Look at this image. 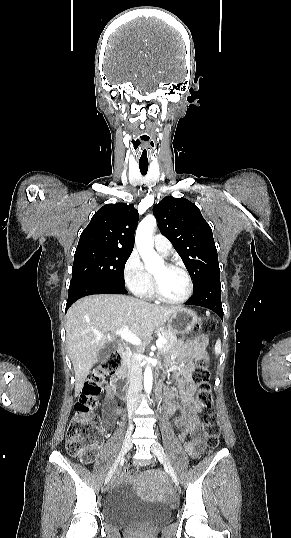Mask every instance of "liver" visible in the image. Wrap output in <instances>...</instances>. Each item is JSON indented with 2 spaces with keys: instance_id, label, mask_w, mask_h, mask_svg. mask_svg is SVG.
<instances>
[{
  "instance_id": "6515ba94",
  "label": "liver",
  "mask_w": 291,
  "mask_h": 538,
  "mask_svg": "<svg viewBox=\"0 0 291 538\" xmlns=\"http://www.w3.org/2000/svg\"><path fill=\"white\" fill-rule=\"evenodd\" d=\"M181 307L159 306L120 294L81 298L66 314V346L75 373V395L98 361L100 350L114 341L113 332L127 327L140 339H148ZM98 331L101 336L94 334Z\"/></svg>"
}]
</instances>
